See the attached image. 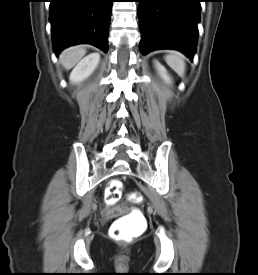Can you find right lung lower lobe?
I'll list each match as a JSON object with an SVG mask.
<instances>
[{
  "label": "right lung lower lobe",
  "mask_w": 258,
  "mask_h": 275,
  "mask_svg": "<svg viewBox=\"0 0 258 275\" xmlns=\"http://www.w3.org/2000/svg\"><path fill=\"white\" fill-rule=\"evenodd\" d=\"M113 0H50L49 20L56 54L80 43L108 51Z\"/></svg>",
  "instance_id": "1"
}]
</instances>
